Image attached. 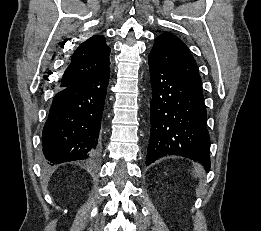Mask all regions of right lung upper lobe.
I'll use <instances>...</instances> for the list:
<instances>
[{"label":"right lung upper lobe","mask_w":261,"mask_h":231,"mask_svg":"<svg viewBox=\"0 0 261 231\" xmlns=\"http://www.w3.org/2000/svg\"><path fill=\"white\" fill-rule=\"evenodd\" d=\"M109 54L110 47L102 35H94L82 42L71 56L60 87L74 85L107 69L110 65Z\"/></svg>","instance_id":"right-lung-upper-lobe-1"}]
</instances>
